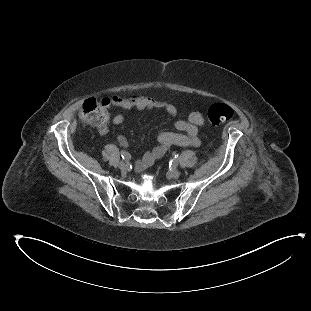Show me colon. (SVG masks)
I'll return each instance as SVG.
<instances>
[{
	"label": "colon",
	"instance_id": "5ec220e1",
	"mask_svg": "<svg viewBox=\"0 0 311 311\" xmlns=\"http://www.w3.org/2000/svg\"><path fill=\"white\" fill-rule=\"evenodd\" d=\"M112 101L107 98L88 99L80 106V119L87 124L103 128L108 120V111ZM234 109L224 103H215L208 109V119L213 125H219L233 119Z\"/></svg>",
	"mask_w": 311,
	"mask_h": 311
}]
</instances>
